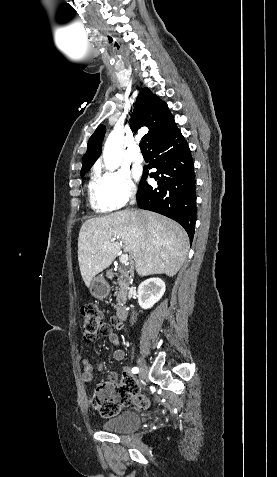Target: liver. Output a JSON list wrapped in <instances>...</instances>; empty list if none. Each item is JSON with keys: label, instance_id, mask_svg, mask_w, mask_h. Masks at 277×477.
Returning <instances> with one entry per match:
<instances>
[{"label": "liver", "instance_id": "1", "mask_svg": "<svg viewBox=\"0 0 277 477\" xmlns=\"http://www.w3.org/2000/svg\"><path fill=\"white\" fill-rule=\"evenodd\" d=\"M121 248L134 260L140 276L171 277L185 261L189 240L177 222L146 210H123L88 219L78 237L79 267L87 287L112 264Z\"/></svg>", "mask_w": 277, "mask_h": 477}]
</instances>
